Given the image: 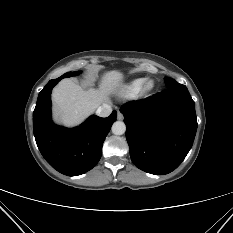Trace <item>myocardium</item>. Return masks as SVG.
Returning <instances> with one entry per match:
<instances>
[{
	"label": "myocardium",
	"mask_w": 233,
	"mask_h": 233,
	"mask_svg": "<svg viewBox=\"0 0 233 233\" xmlns=\"http://www.w3.org/2000/svg\"><path fill=\"white\" fill-rule=\"evenodd\" d=\"M154 81L153 80H146L144 81L142 88L140 90L141 94L146 95L150 93L154 89Z\"/></svg>",
	"instance_id": "f54148a6"
}]
</instances>
